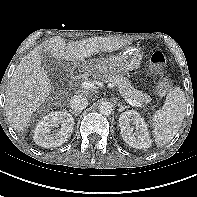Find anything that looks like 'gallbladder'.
Listing matches in <instances>:
<instances>
[{
    "mask_svg": "<svg viewBox=\"0 0 197 197\" xmlns=\"http://www.w3.org/2000/svg\"><path fill=\"white\" fill-rule=\"evenodd\" d=\"M42 63L44 68L47 72H49L50 75H54L53 73V64L55 65V59L52 57V55L49 52H44L41 56Z\"/></svg>",
    "mask_w": 197,
    "mask_h": 197,
    "instance_id": "obj_1",
    "label": "gallbladder"
}]
</instances>
